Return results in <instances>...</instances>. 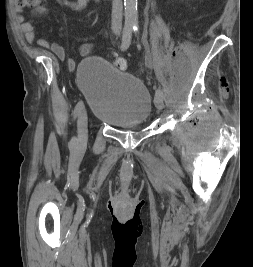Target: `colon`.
I'll use <instances>...</instances> for the list:
<instances>
[{"label":"colon","mask_w":253,"mask_h":267,"mask_svg":"<svg viewBox=\"0 0 253 267\" xmlns=\"http://www.w3.org/2000/svg\"><path fill=\"white\" fill-rule=\"evenodd\" d=\"M41 0H15V4L18 7H35L39 5ZM115 66L120 70L127 69V61L122 57H117L115 59Z\"/></svg>","instance_id":"obj_1"}]
</instances>
